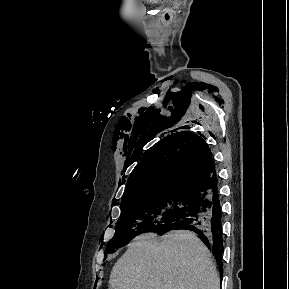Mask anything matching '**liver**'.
Listing matches in <instances>:
<instances>
[{"label":"liver","instance_id":"obj_1","mask_svg":"<svg viewBox=\"0 0 289 289\" xmlns=\"http://www.w3.org/2000/svg\"><path fill=\"white\" fill-rule=\"evenodd\" d=\"M111 289H220L209 251L194 232L176 230L161 242L140 235L112 268Z\"/></svg>","mask_w":289,"mask_h":289}]
</instances>
